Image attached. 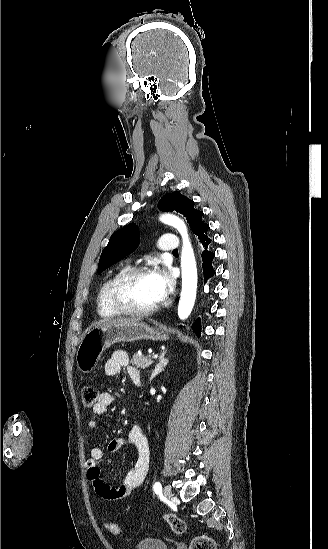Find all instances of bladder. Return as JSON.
I'll use <instances>...</instances> for the list:
<instances>
[{"instance_id":"1","label":"bladder","mask_w":328,"mask_h":549,"mask_svg":"<svg viewBox=\"0 0 328 549\" xmlns=\"http://www.w3.org/2000/svg\"><path fill=\"white\" fill-rule=\"evenodd\" d=\"M140 549H169L166 542L159 541L153 537L142 540Z\"/></svg>"}]
</instances>
